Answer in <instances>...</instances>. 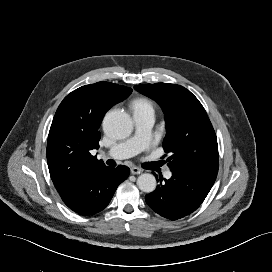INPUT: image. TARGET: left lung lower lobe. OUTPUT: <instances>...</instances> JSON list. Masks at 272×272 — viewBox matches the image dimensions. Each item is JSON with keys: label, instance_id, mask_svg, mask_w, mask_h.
Here are the masks:
<instances>
[{"label": "left lung lower lobe", "instance_id": "left-lung-lower-lobe-1", "mask_svg": "<svg viewBox=\"0 0 272 272\" xmlns=\"http://www.w3.org/2000/svg\"><path fill=\"white\" fill-rule=\"evenodd\" d=\"M172 177L145 196L159 215L177 220L195 211L213 186L217 173L202 170H171Z\"/></svg>", "mask_w": 272, "mask_h": 272}]
</instances>
